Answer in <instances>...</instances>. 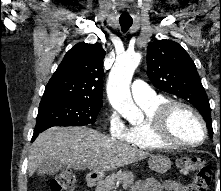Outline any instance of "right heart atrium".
Wrapping results in <instances>:
<instances>
[{
    "label": "right heart atrium",
    "mask_w": 221,
    "mask_h": 191,
    "mask_svg": "<svg viewBox=\"0 0 221 191\" xmlns=\"http://www.w3.org/2000/svg\"><path fill=\"white\" fill-rule=\"evenodd\" d=\"M106 124L109 134L119 140H126L128 137V127L121 120L120 116L114 110H109L106 116Z\"/></svg>",
    "instance_id": "d8ad5b80"
}]
</instances>
